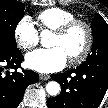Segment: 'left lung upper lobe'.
Segmentation results:
<instances>
[{"label":"left lung upper lobe","instance_id":"left-lung-upper-lobe-1","mask_svg":"<svg viewBox=\"0 0 108 108\" xmlns=\"http://www.w3.org/2000/svg\"><path fill=\"white\" fill-rule=\"evenodd\" d=\"M91 28L94 36L91 54L82 65L100 61L108 63V24L99 14H95L94 20L91 23ZM76 94V91H70L67 95L71 100L76 98Z\"/></svg>","mask_w":108,"mask_h":108}]
</instances>
